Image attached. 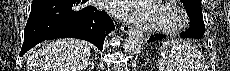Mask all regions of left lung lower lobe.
Segmentation results:
<instances>
[{
  "mask_svg": "<svg viewBox=\"0 0 230 71\" xmlns=\"http://www.w3.org/2000/svg\"><path fill=\"white\" fill-rule=\"evenodd\" d=\"M187 12L191 20L190 28L187 31L181 33L180 36L183 38L186 37L200 39L205 32L202 11H199L197 9H188ZM163 37L164 35L161 34L151 35L148 43L162 39Z\"/></svg>",
  "mask_w": 230,
  "mask_h": 71,
  "instance_id": "1",
  "label": "left lung lower lobe"
}]
</instances>
